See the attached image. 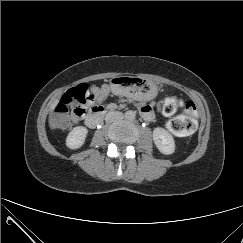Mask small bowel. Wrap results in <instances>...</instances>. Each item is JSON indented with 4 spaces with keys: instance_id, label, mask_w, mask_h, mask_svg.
I'll use <instances>...</instances> for the list:
<instances>
[{
    "instance_id": "1",
    "label": "small bowel",
    "mask_w": 243,
    "mask_h": 243,
    "mask_svg": "<svg viewBox=\"0 0 243 243\" xmlns=\"http://www.w3.org/2000/svg\"><path fill=\"white\" fill-rule=\"evenodd\" d=\"M94 98L90 102V104H93L95 102H101L105 99V97L108 95L109 89L106 85H103L99 88H94ZM158 107L155 103H147L145 101H141L138 104L139 111L142 115V117L147 120L151 121L154 119L155 116V108ZM78 120L74 119V122H77Z\"/></svg>"
}]
</instances>
